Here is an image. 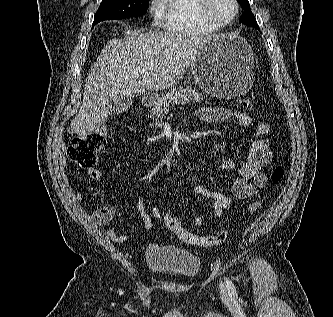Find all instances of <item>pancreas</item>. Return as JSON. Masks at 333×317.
Returning a JSON list of instances; mask_svg holds the SVG:
<instances>
[{"label":"pancreas","instance_id":"cf45deb5","mask_svg":"<svg viewBox=\"0 0 333 317\" xmlns=\"http://www.w3.org/2000/svg\"><path fill=\"white\" fill-rule=\"evenodd\" d=\"M203 99L201 93L190 87H178L169 90L167 94L161 95L154 107L152 108V118L155 120L162 119L169 108L175 104L200 103Z\"/></svg>","mask_w":333,"mask_h":317}]
</instances>
